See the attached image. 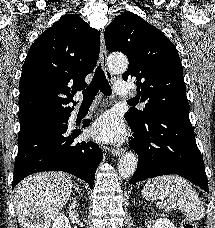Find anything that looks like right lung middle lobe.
Masks as SVG:
<instances>
[{
    "instance_id": "dd1d6c3e",
    "label": "right lung middle lobe",
    "mask_w": 215,
    "mask_h": 228,
    "mask_svg": "<svg viewBox=\"0 0 215 228\" xmlns=\"http://www.w3.org/2000/svg\"><path fill=\"white\" fill-rule=\"evenodd\" d=\"M65 122L66 114H55L20 123V133L18 139L28 136L42 128L64 124Z\"/></svg>"
}]
</instances>
